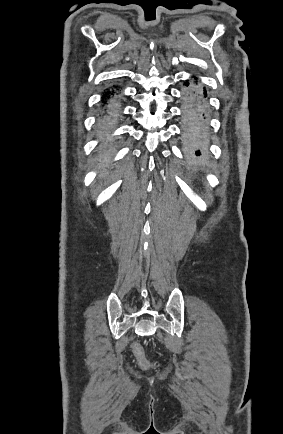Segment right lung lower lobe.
<instances>
[{"instance_id": "1", "label": "right lung lower lobe", "mask_w": 283, "mask_h": 434, "mask_svg": "<svg viewBox=\"0 0 283 434\" xmlns=\"http://www.w3.org/2000/svg\"><path fill=\"white\" fill-rule=\"evenodd\" d=\"M106 99H109V95H108V93L106 94ZM110 111H111V110H110L109 108H106V118H107L108 120L111 119Z\"/></svg>"}]
</instances>
